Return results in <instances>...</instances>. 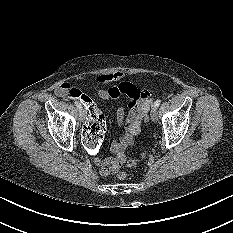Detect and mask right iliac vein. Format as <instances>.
I'll list each match as a JSON object with an SVG mask.
<instances>
[{
  "instance_id": "obj_1",
  "label": "right iliac vein",
  "mask_w": 233,
  "mask_h": 233,
  "mask_svg": "<svg viewBox=\"0 0 233 233\" xmlns=\"http://www.w3.org/2000/svg\"><path fill=\"white\" fill-rule=\"evenodd\" d=\"M85 118H86V112H85V110L84 109H80V111H79V119H80V121H84L85 120Z\"/></svg>"
}]
</instances>
